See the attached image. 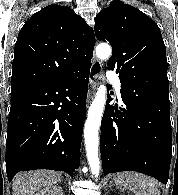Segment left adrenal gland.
<instances>
[{
    "label": "left adrenal gland",
    "mask_w": 178,
    "mask_h": 195,
    "mask_svg": "<svg viewBox=\"0 0 178 195\" xmlns=\"http://www.w3.org/2000/svg\"><path fill=\"white\" fill-rule=\"evenodd\" d=\"M112 186H113V181L110 182V187H112Z\"/></svg>",
    "instance_id": "1"
}]
</instances>
